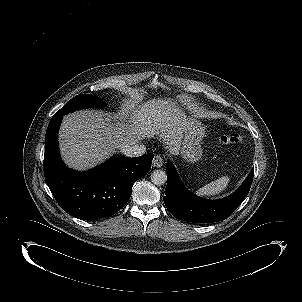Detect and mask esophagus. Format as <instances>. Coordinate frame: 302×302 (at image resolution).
<instances>
[{"label":"esophagus","instance_id":"obj_1","mask_svg":"<svg viewBox=\"0 0 302 302\" xmlns=\"http://www.w3.org/2000/svg\"><path fill=\"white\" fill-rule=\"evenodd\" d=\"M152 165L153 167H161L163 165V159L161 156L157 155L154 157L153 161H152Z\"/></svg>","mask_w":302,"mask_h":302}]
</instances>
